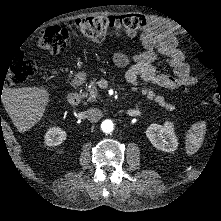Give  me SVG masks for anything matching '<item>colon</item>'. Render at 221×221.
Returning <instances> with one entry per match:
<instances>
[{
    "instance_id": "colon-1",
    "label": "colon",
    "mask_w": 221,
    "mask_h": 221,
    "mask_svg": "<svg viewBox=\"0 0 221 221\" xmlns=\"http://www.w3.org/2000/svg\"><path fill=\"white\" fill-rule=\"evenodd\" d=\"M148 25L145 17L139 14L123 16H91L77 19L63 26L50 27L37 38L38 48L55 55L60 53L68 43L69 31H76L93 42H101L112 35H137ZM199 62L207 65L203 56ZM39 72V64L31 59L19 57L10 65L8 83L18 85L35 77Z\"/></svg>"
}]
</instances>
